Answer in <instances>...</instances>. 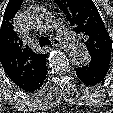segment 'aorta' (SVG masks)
<instances>
[{
    "label": "aorta",
    "mask_w": 113,
    "mask_h": 113,
    "mask_svg": "<svg viewBox=\"0 0 113 113\" xmlns=\"http://www.w3.org/2000/svg\"><path fill=\"white\" fill-rule=\"evenodd\" d=\"M44 14H47V13H44ZM45 16H46V20L50 22L49 15H45ZM68 54L71 62L76 66H85L91 60V57L87 48L83 44L77 41H73L68 46Z\"/></svg>",
    "instance_id": "aorta-1"
}]
</instances>
